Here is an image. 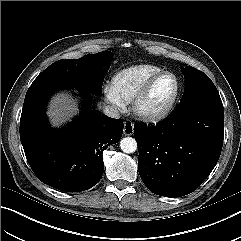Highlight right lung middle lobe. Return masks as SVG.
<instances>
[{"label": "right lung middle lobe", "mask_w": 241, "mask_h": 241, "mask_svg": "<svg viewBox=\"0 0 241 241\" xmlns=\"http://www.w3.org/2000/svg\"><path fill=\"white\" fill-rule=\"evenodd\" d=\"M113 54L103 51L88 54L80 59L59 60L48 66L32 83L38 85L53 80H71L89 92L101 96L104 77L108 72Z\"/></svg>", "instance_id": "dd1d6c3e"}]
</instances>
